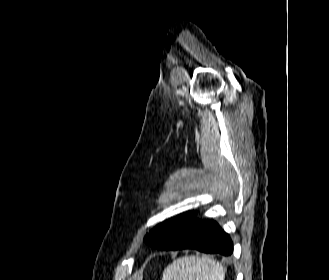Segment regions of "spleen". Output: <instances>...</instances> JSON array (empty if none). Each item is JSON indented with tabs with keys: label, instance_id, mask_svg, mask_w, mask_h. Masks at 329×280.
Segmentation results:
<instances>
[{
	"label": "spleen",
	"instance_id": "obj_1",
	"mask_svg": "<svg viewBox=\"0 0 329 280\" xmlns=\"http://www.w3.org/2000/svg\"><path fill=\"white\" fill-rule=\"evenodd\" d=\"M223 267L206 256H184L174 260L163 271L162 280H224Z\"/></svg>",
	"mask_w": 329,
	"mask_h": 280
}]
</instances>
